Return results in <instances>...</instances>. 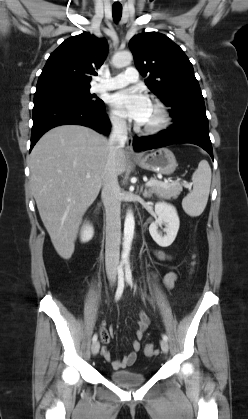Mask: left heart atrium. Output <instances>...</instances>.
I'll list each match as a JSON object with an SVG mask.
<instances>
[{"instance_id":"39dd6f15","label":"left heart atrium","mask_w":248,"mask_h":419,"mask_svg":"<svg viewBox=\"0 0 248 419\" xmlns=\"http://www.w3.org/2000/svg\"><path fill=\"white\" fill-rule=\"evenodd\" d=\"M110 103L119 115L139 124L144 122L151 106L149 98L137 88L116 92Z\"/></svg>"}]
</instances>
